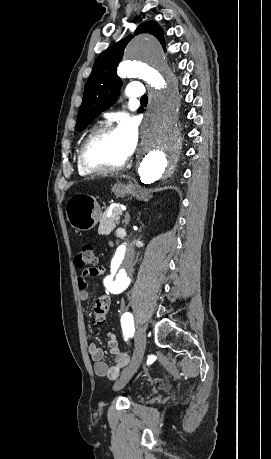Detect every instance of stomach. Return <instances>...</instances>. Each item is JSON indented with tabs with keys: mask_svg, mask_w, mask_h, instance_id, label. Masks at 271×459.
Returning <instances> with one entry per match:
<instances>
[{
	"mask_svg": "<svg viewBox=\"0 0 271 459\" xmlns=\"http://www.w3.org/2000/svg\"><path fill=\"white\" fill-rule=\"evenodd\" d=\"M112 192L117 198H124L127 194L137 196L140 200L149 198V190H140L137 184H113ZM67 220L72 228L79 229V231H88L98 224L101 218L100 206H98L95 198L87 196V194H77L72 196L66 204Z\"/></svg>",
	"mask_w": 271,
	"mask_h": 459,
	"instance_id": "1",
	"label": "stomach"
}]
</instances>
